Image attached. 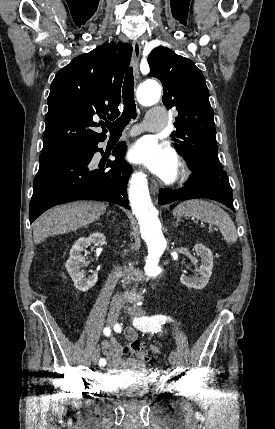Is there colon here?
<instances>
[{
  "label": "colon",
  "mask_w": 275,
  "mask_h": 429,
  "mask_svg": "<svg viewBox=\"0 0 275 429\" xmlns=\"http://www.w3.org/2000/svg\"><path fill=\"white\" fill-rule=\"evenodd\" d=\"M131 351L134 353V355L136 357L145 361L148 365L152 364V362H153L152 358H150L146 355L140 341H134L131 344ZM153 372H154L153 369H149V374H151Z\"/></svg>",
  "instance_id": "obj_1"
}]
</instances>
